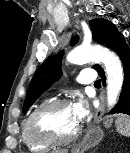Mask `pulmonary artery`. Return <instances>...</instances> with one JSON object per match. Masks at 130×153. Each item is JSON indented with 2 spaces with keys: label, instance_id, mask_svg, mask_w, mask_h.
Instances as JSON below:
<instances>
[{
  "label": "pulmonary artery",
  "instance_id": "1",
  "mask_svg": "<svg viewBox=\"0 0 130 153\" xmlns=\"http://www.w3.org/2000/svg\"><path fill=\"white\" fill-rule=\"evenodd\" d=\"M96 74L93 70H83L77 77V81L80 84H90L95 81Z\"/></svg>",
  "mask_w": 130,
  "mask_h": 153
}]
</instances>
